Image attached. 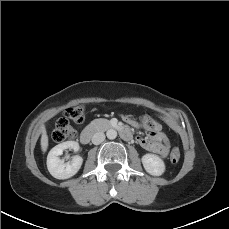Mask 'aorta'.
I'll return each instance as SVG.
<instances>
[{
    "label": "aorta",
    "instance_id": "762f6f07",
    "mask_svg": "<svg viewBox=\"0 0 229 229\" xmlns=\"http://www.w3.org/2000/svg\"><path fill=\"white\" fill-rule=\"evenodd\" d=\"M107 135V138L110 139V140H113L117 137V131L114 130V129H109L106 133Z\"/></svg>",
    "mask_w": 229,
    "mask_h": 229
}]
</instances>
